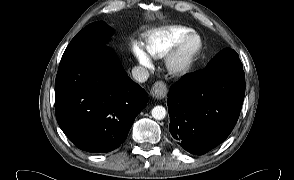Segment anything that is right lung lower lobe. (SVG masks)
Returning <instances> with one entry per match:
<instances>
[{"mask_svg":"<svg viewBox=\"0 0 294 180\" xmlns=\"http://www.w3.org/2000/svg\"><path fill=\"white\" fill-rule=\"evenodd\" d=\"M147 101L148 94L106 46L61 59L55 80L56 118L82 150L106 153L120 146Z\"/></svg>","mask_w":294,"mask_h":180,"instance_id":"right-lung-lower-lobe-1","label":"right lung lower lobe"}]
</instances>
